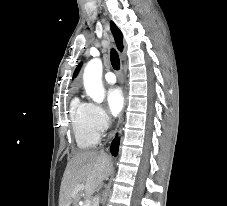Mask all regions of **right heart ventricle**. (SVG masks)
<instances>
[{
	"mask_svg": "<svg viewBox=\"0 0 227 206\" xmlns=\"http://www.w3.org/2000/svg\"><path fill=\"white\" fill-rule=\"evenodd\" d=\"M70 119L75 141L80 149H91L99 141V133L94 129L90 119V104L74 98L70 104Z\"/></svg>",
	"mask_w": 227,
	"mask_h": 206,
	"instance_id": "obj_1",
	"label": "right heart ventricle"
}]
</instances>
